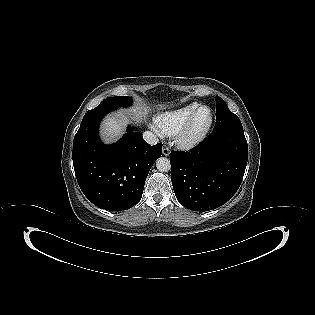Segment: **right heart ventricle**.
<instances>
[{
	"instance_id": "1",
	"label": "right heart ventricle",
	"mask_w": 315,
	"mask_h": 315,
	"mask_svg": "<svg viewBox=\"0 0 315 315\" xmlns=\"http://www.w3.org/2000/svg\"><path fill=\"white\" fill-rule=\"evenodd\" d=\"M199 106L198 102H191L163 112L156 117V125L164 135L174 136Z\"/></svg>"
}]
</instances>
